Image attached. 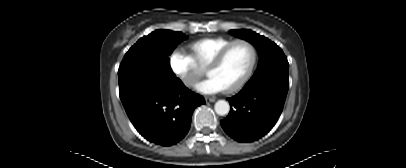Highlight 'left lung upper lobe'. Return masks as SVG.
<instances>
[{
	"mask_svg": "<svg viewBox=\"0 0 406 168\" xmlns=\"http://www.w3.org/2000/svg\"><path fill=\"white\" fill-rule=\"evenodd\" d=\"M230 33L253 44L260 56L258 67L249 81L262 78L288 80L289 64L281 48L251 30H231Z\"/></svg>",
	"mask_w": 406,
	"mask_h": 168,
	"instance_id": "left-lung-upper-lobe-1",
	"label": "left lung upper lobe"
}]
</instances>
